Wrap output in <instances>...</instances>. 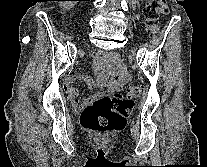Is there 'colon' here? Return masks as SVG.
Masks as SVG:
<instances>
[{
	"label": "colon",
	"mask_w": 207,
	"mask_h": 167,
	"mask_svg": "<svg viewBox=\"0 0 207 167\" xmlns=\"http://www.w3.org/2000/svg\"><path fill=\"white\" fill-rule=\"evenodd\" d=\"M165 0H152L144 8V17L147 28L155 34L158 30L159 19L168 13ZM115 60L117 55H113ZM140 85L126 84L125 93L112 91L91 105L81 114V125L84 129L100 135H106L122 129L133 109L134 100L142 94Z\"/></svg>",
	"instance_id": "obj_1"
}]
</instances>
